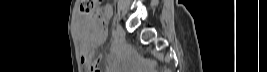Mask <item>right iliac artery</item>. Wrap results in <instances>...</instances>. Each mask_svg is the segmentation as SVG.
<instances>
[{
  "instance_id": "1",
  "label": "right iliac artery",
  "mask_w": 267,
  "mask_h": 72,
  "mask_svg": "<svg viewBox=\"0 0 267 72\" xmlns=\"http://www.w3.org/2000/svg\"><path fill=\"white\" fill-rule=\"evenodd\" d=\"M112 36H113L114 39H117V37H118L114 30L112 31Z\"/></svg>"
}]
</instances>
